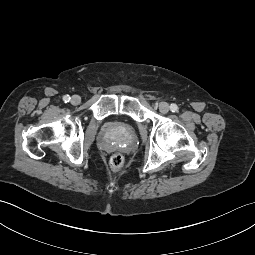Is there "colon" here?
<instances>
[{
  "label": "colon",
  "mask_w": 255,
  "mask_h": 255,
  "mask_svg": "<svg viewBox=\"0 0 255 255\" xmlns=\"http://www.w3.org/2000/svg\"><path fill=\"white\" fill-rule=\"evenodd\" d=\"M124 163V157L119 153L113 154L109 159V166L115 172L120 171L123 168Z\"/></svg>",
  "instance_id": "1"
}]
</instances>
